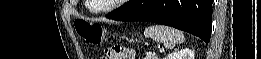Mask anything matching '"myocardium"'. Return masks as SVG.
I'll return each instance as SVG.
<instances>
[{
	"label": "myocardium",
	"instance_id": "f54148a6",
	"mask_svg": "<svg viewBox=\"0 0 261 59\" xmlns=\"http://www.w3.org/2000/svg\"><path fill=\"white\" fill-rule=\"evenodd\" d=\"M124 0H113V2L106 6V7H102V8H98V9H94L97 12H108L111 11L112 9H114L115 7L118 6L119 3L123 2Z\"/></svg>",
	"mask_w": 261,
	"mask_h": 59
}]
</instances>
